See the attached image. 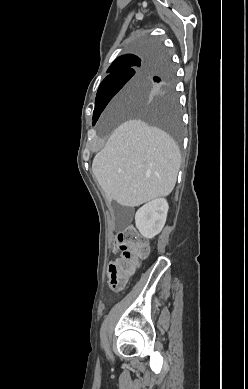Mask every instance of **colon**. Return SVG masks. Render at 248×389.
<instances>
[{
  "instance_id": "1",
  "label": "colon",
  "mask_w": 248,
  "mask_h": 389,
  "mask_svg": "<svg viewBox=\"0 0 248 389\" xmlns=\"http://www.w3.org/2000/svg\"><path fill=\"white\" fill-rule=\"evenodd\" d=\"M114 244L119 258L108 266L109 285L112 289H121L126 286L140 261L148 255L149 244L140 237L134 225L118 232Z\"/></svg>"
}]
</instances>
